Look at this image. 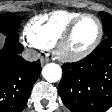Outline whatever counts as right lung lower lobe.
Returning a JSON list of instances; mask_svg holds the SVG:
<instances>
[{
    "mask_svg": "<svg viewBox=\"0 0 112 112\" xmlns=\"http://www.w3.org/2000/svg\"><path fill=\"white\" fill-rule=\"evenodd\" d=\"M22 51L19 40L9 38L0 50V112H21L40 76V61L24 60Z\"/></svg>",
    "mask_w": 112,
    "mask_h": 112,
    "instance_id": "98d812e1",
    "label": "right lung lower lobe"
}]
</instances>
